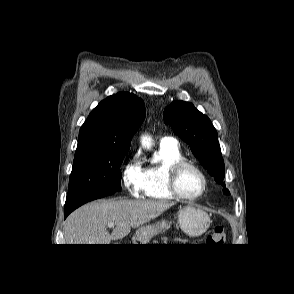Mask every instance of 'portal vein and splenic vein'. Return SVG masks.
<instances>
[{
  "instance_id": "18ae733b",
  "label": "portal vein and splenic vein",
  "mask_w": 294,
  "mask_h": 294,
  "mask_svg": "<svg viewBox=\"0 0 294 294\" xmlns=\"http://www.w3.org/2000/svg\"><path fill=\"white\" fill-rule=\"evenodd\" d=\"M114 225H115L114 223H109L108 227L111 228V227H114Z\"/></svg>"
}]
</instances>
